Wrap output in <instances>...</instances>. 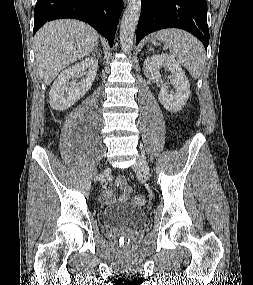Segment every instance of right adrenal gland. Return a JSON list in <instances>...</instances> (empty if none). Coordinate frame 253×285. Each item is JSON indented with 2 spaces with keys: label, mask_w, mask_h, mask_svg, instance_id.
I'll list each match as a JSON object with an SVG mask.
<instances>
[{
  "label": "right adrenal gland",
  "mask_w": 253,
  "mask_h": 285,
  "mask_svg": "<svg viewBox=\"0 0 253 285\" xmlns=\"http://www.w3.org/2000/svg\"><path fill=\"white\" fill-rule=\"evenodd\" d=\"M94 52H96L101 57V53L99 52L98 46H96L91 53Z\"/></svg>",
  "instance_id": "obj_1"
}]
</instances>
